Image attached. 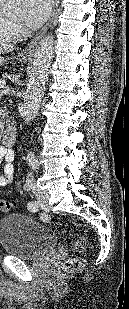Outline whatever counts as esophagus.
<instances>
[{"label":"esophagus","mask_w":129,"mask_h":309,"mask_svg":"<svg viewBox=\"0 0 129 309\" xmlns=\"http://www.w3.org/2000/svg\"><path fill=\"white\" fill-rule=\"evenodd\" d=\"M58 4H59V0H54L53 10H52L49 20L47 21L45 26L33 37V39L28 43V45L22 50V54L27 55V56L32 55L38 42L47 32L49 27L51 26L54 16L56 14L57 8H58Z\"/></svg>","instance_id":"esophagus-1"}]
</instances>
